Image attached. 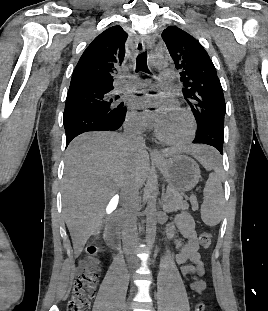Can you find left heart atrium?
<instances>
[{
  "label": "left heart atrium",
  "mask_w": 268,
  "mask_h": 311,
  "mask_svg": "<svg viewBox=\"0 0 268 311\" xmlns=\"http://www.w3.org/2000/svg\"><path fill=\"white\" fill-rule=\"evenodd\" d=\"M148 97L158 98L159 100L150 102L147 100ZM130 105L134 109H143L151 105L159 106L158 109L153 110L151 113V117L157 125L168 120L177 111L175 99L167 93L145 94L143 97H133L130 100Z\"/></svg>",
  "instance_id": "1"
}]
</instances>
